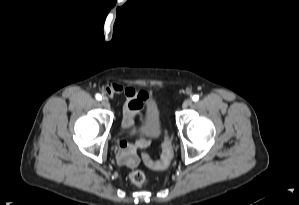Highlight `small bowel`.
<instances>
[{
	"mask_svg": "<svg viewBox=\"0 0 299 205\" xmlns=\"http://www.w3.org/2000/svg\"><path fill=\"white\" fill-rule=\"evenodd\" d=\"M106 93L109 96L115 94H124L125 103L123 106V123L121 133L126 134L136 115L145 116L148 103L151 101V94L147 91H138L132 87H123L117 83H110L106 87ZM149 140L143 138L135 144L128 143L124 140L120 141L117 147V160L120 164L127 167H134L138 164V150L144 148Z\"/></svg>",
	"mask_w": 299,
	"mask_h": 205,
	"instance_id": "obj_1",
	"label": "small bowel"
}]
</instances>
